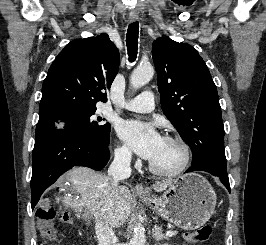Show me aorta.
<instances>
[{
  "label": "aorta",
  "mask_w": 266,
  "mask_h": 245,
  "mask_svg": "<svg viewBox=\"0 0 266 245\" xmlns=\"http://www.w3.org/2000/svg\"><path fill=\"white\" fill-rule=\"evenodd\" d=\"M154 74L151 64H143L134 68L130 76V84L133 88H141L151 80ZM130 245H146L145 229L141 223H136Z\"/></svg>",
  "instance_id": "1"
}]
</instances>
